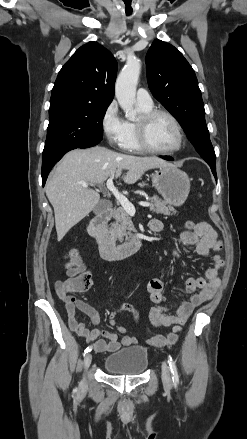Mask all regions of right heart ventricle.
Listing matches in <instances>:
<instances>
[{
  "instance_id": "1",
  "label": "right heart ventricle",
  "mask_w": 247,
  "mask_h": 439,
  "mask_svg": "<svg viewBox=\"0 0 247 439\" xmlns=\"http://www.w3.org/2000/svg\"><path fill=\"white\" fill-rule=\"evenodd\" d=\"M138 107L142 113L152 109V105L151 106H144V105L138 104ZM121 148L123 150L130 151V152H139V151L143 150L140 147L138 140H137L136 122L126 121V134H125V138L123 140V143L121 145Z\"/></svg>"
}]
</instances>
